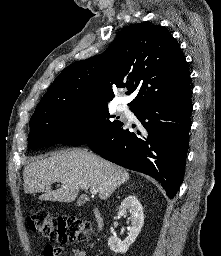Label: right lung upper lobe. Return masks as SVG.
<instances>
[{"mask_svg": "<svg viewBox=\"0 0 221 256\" xmlns=\"http://www.w3.org/2000/svg\"><path fill=\"white\" fill-rule=\"evenodd\" d=\"M114 87L139 90L129 103L133 112L151 101L191 93L186 59L167 29L147 23L128 26L102 54L66 67L35 113L55 106L107 103L114 98Z\"/></svg>", "mask_w": 221, "mask_h": 256, "instance_id": "obj_1", "label": "right lung upper lobe"}]
</instances>
